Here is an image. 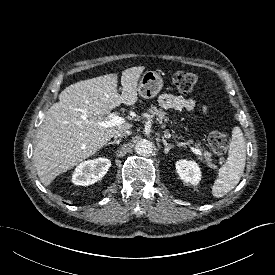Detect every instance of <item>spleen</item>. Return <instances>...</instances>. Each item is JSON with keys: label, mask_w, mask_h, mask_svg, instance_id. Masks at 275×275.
Segmentation results:
<instances>
[{"label": "spleen", "mask_w": 275, "mask_h": 275, "mask_svg": "<svg viewBox=\"0 0 275 275\" xmlns=\"http://www.w3.org/2000/svg\"><path fill=\"white\" fill-rule=\"evenodd\" d=\"M246 164V145L240 127L232 130V138L226 163L219 169L212 187L214 197H223L240 181Z\"/></svg>", "instance_id": "spleen-1"}]
</instances>
